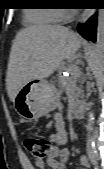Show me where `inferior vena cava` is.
Listing matches in <instances>:
<instances>
[{"label": "inferior vena cava", "mask_w": 104, "mask_h": 169, "mask_svg": "<svg viewBox=\"0 0 104 169\" xmlns=\"http://www.w3.org/2000/svg\"><path fill=\"white\" fill-rule=\"evenodd\" d=\"M97 135H98V132H97V130H95V131L93 132V140H96Z\"/></svg>", "instance_id": "602c4592"}]
</instances>
